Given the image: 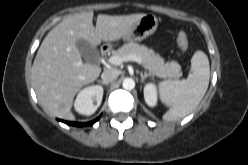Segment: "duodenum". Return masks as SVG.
I'll use <instances>...</instances> for the list:
<instances>
[{"label": "duodenum", "mask_w": 248, "mask_h": 165, "mask_svg": "<svg viewBox=\"0 0 248 165\" xmlns=\"http://www.w3.org/2000/svg\"><path fill=\"white\" fill-rule=\"evenodd\" d=\"M107 52H108V48L107 47H102L101 51H100V54H101L102 57H104V56H106Z\"/></svg>", "instance_id": "410a0bca"}]
</instances>
